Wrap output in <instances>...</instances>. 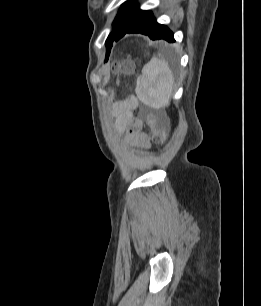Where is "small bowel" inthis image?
I'll return each mask as SVG.
<instances>
[{
  "label": "small bowel",
  "mask_w": 261,
  "mask_h": 306,
  "mask_svg": "<svg viewBox=\"0 0 261 306\" xmlns=\"http://www.w3.org/2000/svg\"><path fill=\"white\" fill-rule=\"evenodd\" d=\"M137 107V100L129 98L115 106L118 125L120 129L126 130L125 143L134 148L146 149L149 147V138L142 131V122L133 116Z\"/></svg>",
  "instance_id": "1"
}]
</instances>
